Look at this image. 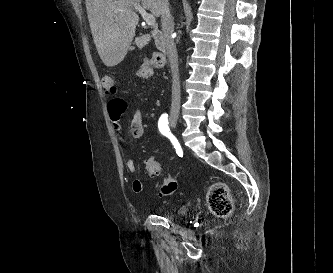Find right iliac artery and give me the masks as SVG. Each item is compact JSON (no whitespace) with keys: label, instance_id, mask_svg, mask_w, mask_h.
Instances as JSON below:
<instances>
[{"label":"right iliac artery","instance_id":"82829eb1","mask_svg":"<svg viewBox=\"0 0 333 273\" xmlns=\"http://www.w3.org/2000/svg\"><path fill=\"white\" fill-rule=\"evenodd\" d=\"M168 124V114H162L158 121V128L160 133L164 136L171 135Z\"/></svg>","mask_w":333,"mask_h":273}]
</instances>
